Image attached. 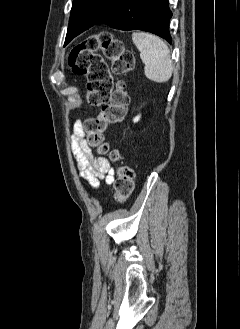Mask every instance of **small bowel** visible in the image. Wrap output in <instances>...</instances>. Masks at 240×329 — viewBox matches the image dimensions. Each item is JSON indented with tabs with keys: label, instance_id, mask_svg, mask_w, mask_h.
<instances>
[{
	"label": "small bowel",
	"instance_id": "small-bowel-1",
	"mask_svg": "<svg viewBox=\"0 0 240 329\" xmlns=\"http://www.w3.org/2000/svg\"><path fill=\"white\" fill-rule=\"evenodd\" d=\"M86 132L81 120L75 121L71 143L80 176L92 187H97L104 179L107 184L114 180V171L105 157H94L85 141Z\"/></svg>",
	"mask_w": 240,
	"mask_h": 329
}]
</instances>
